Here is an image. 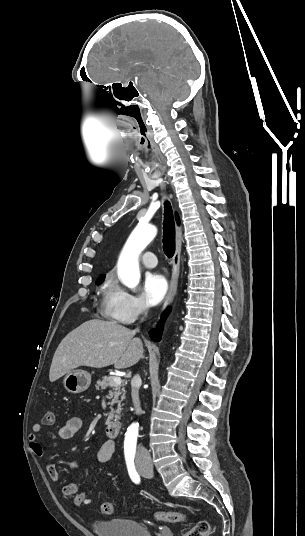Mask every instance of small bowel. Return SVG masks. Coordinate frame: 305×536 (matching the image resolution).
<instances>
[{
  "mask_svg": "<svg viewBox=\"0 0 305 536\" xmlns=\"http://www.w3.org/2000/svg\"><path fill=\"white\" fill-rule=\"evenodd\" d=\"M83 426V421L80 417L74 416L69 418L65 425L59 428L57 434L58 437L62 440H68L73 438L81 429ZM43 427H32L31 433L29 436V445L32 452L41 457L44 454L43 447L41 446L38 435L42 431ZM115 445L113 441L107 440L105 441L100 449L97 452L96 458L99 463H106L108 462L113 453H114ZM85 462V460H77V459H63L60 461L61 464L71 468L75 469L82 465ZM45 470L50 477L51 480L56 481L58 479V469L56 465L52 462H47L45 464ZM62 494L64 496H73L78 493V486L75 483H69L65 484L62 487Z\"/></svg>",
  "mask_w": 305,
  "mask_h": 536,
  "instance_id": "1",
  "label": "small bowel"
}]
</instances>
